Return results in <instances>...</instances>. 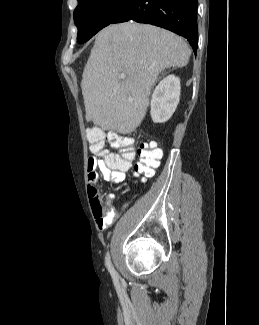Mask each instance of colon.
I'll list each match as a JSON object with an SVG mask.
<instances>
[{
  "mask_svg": "<svg viewBox=\"0 0 259 325\" xmlns=\"http://www.w3.org/2000/svg\"><path fill=\"white\" fill-rule=\"evenodd\" d=\"M86 136L90 144V150L93 153H103L106 141L111 147L116 149L118 151L117 155L120 158L118 162L120 168H130L136 154H138L139 161L133 167V174L135 176L152 177L155 169L159 166L162 151L157 144L152 142L142 143L135 147L130 137L121 136L116 133L106 135L97 128L87 129Z\"/></svg>",
  "mask_w": 259,
  "mask_h": 325,
  "instance_id": "5ec220e1",
  "label": "colon"
}]
</instances>
